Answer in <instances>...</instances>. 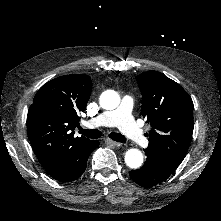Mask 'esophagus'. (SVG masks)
Returning a JSON list of instances; mask_svg holds the SVG:
<instances>
[{
	"label": "esophagus",
	"instance_id": "1",
	"mask_svg": "<svg viewBox=\"0 0 221 221\" xmlns=\"http://www.w3.org/2000/svg\"><path fill=\"white\" fill-rule=\"evenodd\" d=\"M105 142H107L108 144L114 145V146H116V147L121 146V143H118V142L113 141V140L108 139V138L105 139Z\"/></svg>",
	"mask_w": 221,
	"mask_h": 221
}]
</instances>
